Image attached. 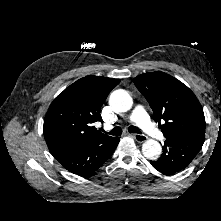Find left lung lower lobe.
<instances>
[{"label": "left lung lower lobe", "instance_id": "left-lung-lower-lobe-1", "mask_svg": "<svg viewBox=\"0 0 221 221\" xmlns=\"http://www.w3.org/2000/svg\"><path fill=\"white\" fill-rule=\"evenodd\" d=\"M204 137H187L182 139H166L163 153L156 161L150 163L158 171L173 175L184 170L202 148Z\"/></svg>", "mask_w": 221, "mask_h": 221}]
</instances>
